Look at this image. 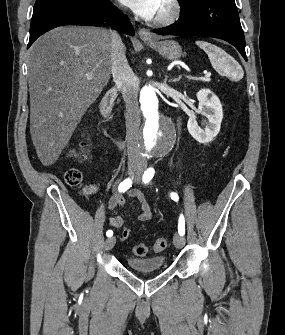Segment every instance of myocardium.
Here are the masks:
<instances>
[{"label": "myocardium", "mask_w": 285, "mask_h": 335, "mask_svg": "<svg viewBox=\"0 0 285 335\" xmlns=\"http://www.w3.org/2000/svg\"><path fill=\"white\" fill-rule=\"evenodd\" d=\"M181 13L179 1H164L161 14L156 18L158 25H167L175 21Z\"/></svg>", "instance_id": "myocardium-1"}]
</instances>
